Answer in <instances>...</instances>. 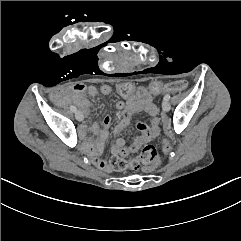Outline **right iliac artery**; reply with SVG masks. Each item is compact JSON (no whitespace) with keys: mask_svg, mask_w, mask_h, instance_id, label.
I'll use <instances>...</instances> for the list:
<instances>
[{"mask_svg":"<svg viewBox=\"0 0 241 241\" xmlns=\"http://www.w3.org/2000/svg\"><path fill=\"white\" fill-rule=\"evenodd\" d=\"M70 110H71L72 112H76V111H77L76 107H74V106H70Z\"/></svg>","mask_w":241,"mask_h":241,"instance_id":"82829eb1","label":"right iliac artery"}]
</instances>
